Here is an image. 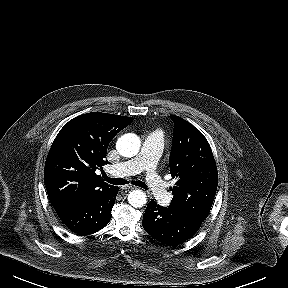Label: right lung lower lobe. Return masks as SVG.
<instances>
[{"mask_svg": "<svg viewBox=\"0 0 288 288\" xmlns=\"http://www.w3.org/2000/svg\"><path fill=\"white\" fill-rule=\"evenodd\" d=\"M118 187H111L90 198L55 207L62 222L74 233L85 236L104 228L111 219Z\"/></svg>", "mask_w": 288, "mask_h": 288, "instance_id": "1", "label": "right lung lower lobe"}]
</instances>
